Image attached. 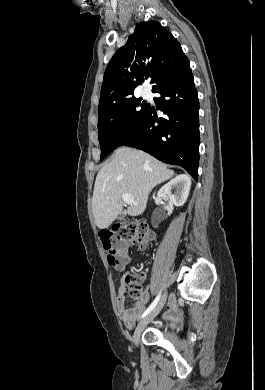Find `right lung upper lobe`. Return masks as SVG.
Wrapping results in <instances>:
<instances>
[{"mask_svg": "<svg viewBox=\"0 0 265 390\" xmlns=\"http://www.w3.org/2000/svg\"><path fill=\"white\" fill-rule=\"evenodd\" d=\"M187 61L178 41L159 22L138 24L105 70L98 112L134 97L144 78H151L154 90Z\"/></svg>", "mask_w": 265, "mask_h": 390, "instance_id": "1", "label": "right lung upper lobe"}]
</instances>
